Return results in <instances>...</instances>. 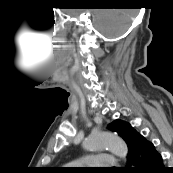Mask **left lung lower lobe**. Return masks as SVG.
Returning a JSON list of instances; mask_svg holds the SVG:
<instances>
[{
  "label": "left lung lower lobe",
  "instance_id": "0a47b994",
  "mask_svg": "<svg viewBox=\"0 0 173 173\" xmlns=\"http://www.w3.org/2000/svg\"><path fill=\"white\" fill-rule=\"evenodd\" d=\"M127 159L126 173H162L164 169L161 154L140 133L135 135Z\"/></svg>",
  "mask_w": 173,
  "mask_h": 173
}]
</instances>
